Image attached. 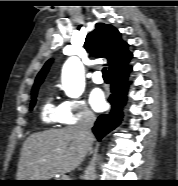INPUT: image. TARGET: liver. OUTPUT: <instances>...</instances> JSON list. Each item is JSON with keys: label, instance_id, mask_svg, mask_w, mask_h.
<instances>
[{"label": "liver", "instance_id": "obj_1", "mask_svg": "<svg viewBox=\"0 0 178 186\" xmlns=\"http://www.w3.org/2000/svg\"><path fill=\"white\" fill-rule=\"evenodd\" d=\"M93 143L77 126L30 135L23 144L17 180H50L79 166Z\"/></svg>", "mask_w": 178, "mask_h": 186}]
</instances>
